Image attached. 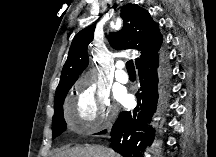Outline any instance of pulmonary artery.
<instances>
[{
  "label": "pulmonary artery",
  "instance_id": "obj_1",
  "mask_svg": "<svg viewBox=\"0 0 216 157\" xmlns=\"http://www.w3.org/2000/svg\"><path fill=\"white\" fill-rule=\"evenodd\" d=\"M115 77L121 83H126L128 81V74L126 73L122 62L116 63Z\"/></svg>",
  "mask_w": 216,
  "mask_h": 157
}]
</instances>
